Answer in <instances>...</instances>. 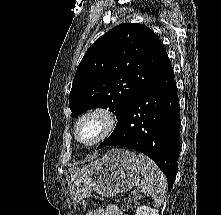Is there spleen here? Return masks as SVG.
I'll use <instances>...</instances> for the list:
<instances>
[{
	"mask_svg": "<svg viewBox=\"0 0 221 215\" xmlns=\"http://www.w3.org/2000/svg\"><path fill=\"white\" fill-rule=\"evenodd\" d=\"M139 158L143 176L141 191L145 195L151 196L157 205H161L166 193V178L153 160L143 154H139Z\"/></svg>",
	"mask_w": 221,
	"mask_h": 215,
	"instance_id": "1",
	"label": "spleen"
}]
</instances>
